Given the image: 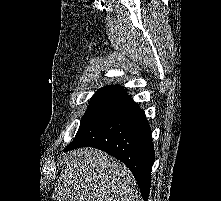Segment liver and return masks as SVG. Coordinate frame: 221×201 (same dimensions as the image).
<instances>
[{
	"instance_id": "liver-1",
	"label": "liver",
	"mask_w": 221,
	"mask_h": 201,
	"mask_svg": "<svg viewBox=\"0 0 221 201\" xmlns=\"http://www.w3.org/2000/svg\"><path fill=\"white\" fill-rule=\"evenodd\" d=\"M55 189L57 201H135L136 183L121 162L94 148L65 155Z\"/></svg>"
}]
</instances>
